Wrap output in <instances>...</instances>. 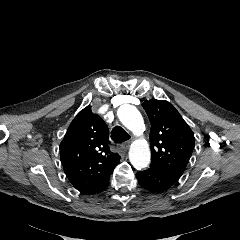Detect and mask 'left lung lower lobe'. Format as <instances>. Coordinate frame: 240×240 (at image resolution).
Wrapping results in <instances>:
<instances>
[{"instance_id":"obj_1","label":"left lung lower lobe","mask_w":240,"mask_h":240,"mask_svg":"<svg viewBox=\"0 0 240 240\" xmlns=\"http://www.w3.org/2000/svg\"><path fill=\"white\" fill-rule=\"evenodd\" d=\"M136 176L140 186L152 193L165 192L177 183L175 179L154 166L145 171H138Z\"/></svg>"}]
</instances>
